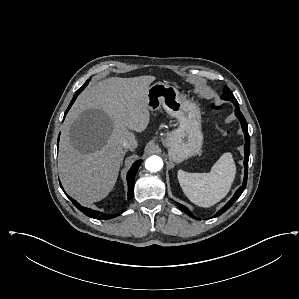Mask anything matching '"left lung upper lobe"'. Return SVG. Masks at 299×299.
Segmentation results:
<instances>
[{
  "instance_id": "obj_1",
  "label": "left lung upper lobe",
  "mask_w": 299,
  "mask_h": 299,
  "mask_svg": "<svg viewBox=\"0 0 299 299\" xmlns=\"http://www.w3.org/2000/svg\"><path fill=\"white\" fill-rule=\"evenodd\" d=\"M222 99L224 100H229V101H237L236 98L234 97V95L232 94V92L230 91V89L225 86L224 90H223V95L221 96Z\"/></svg>"
}]
</instances>
